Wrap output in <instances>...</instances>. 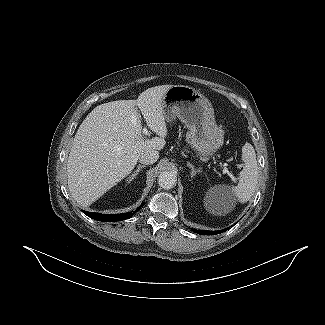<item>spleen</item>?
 <instances>
[{
    "label": "spleen",
    "mask_w": 325,
    "mask_h": 325,
    "mask_svg": "<svg viewBox=\"0 0 325 325\" xmlns=\"http://www.w3.org/2000/svg\"><path fill=\"white\" fill-rule=\"evenodd\" d=\"M242 160L244 166L239 174V183L232 187V191L239 202L245 203L252 197L258 182L256 153L250 143L242 148Z\"/></svg>",
    "instance_id": "3e777b00"
}]
</instances>
